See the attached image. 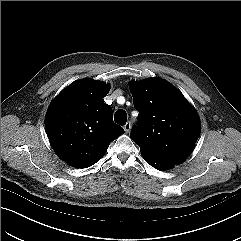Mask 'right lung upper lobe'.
I'll use <instances>...</instances> for the list:
<instances>
[{"label": "right lung upper lobe", "mask_w": 241, "mask_h": 241, "mask_svg": "<svg viewBox=\"0 0 241 241\" xmlns=\"http://www.w3.org/2000/svg\"><path fill=\"white\" fill-rule=\"evenodd\" d=\"M109 86L81 79L65 88L50 104L45 128L57 155L69 165L87 168L100 160L112 141L124 133L104 103Z\"/></svg>", "instance_id": "right-lung-upper-lobe-1"}]
</instances>
